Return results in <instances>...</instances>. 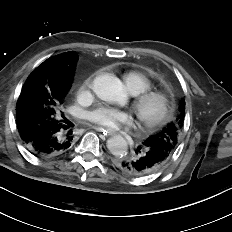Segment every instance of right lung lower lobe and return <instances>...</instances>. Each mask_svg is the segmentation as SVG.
<instances>
[{
    "label": "right lung lower lobe",
    "mask_w": 232,
    "mask_h": 232,
    "mask_svg": "<svg viewBox=\"0 0 232 232\" xmlns=\"http://www.w3.org/2000/svg\"><path fill=\"white\" fill-rule=\"evenodd\" d=\"M16 122L25 147L35 156H58L68 151L73 144L72 124L68 120L52 129L38 126L28 131L23 119L17 117Z\"/></svg>",
    "instance_id": "obj_1"
}]
</instances>
